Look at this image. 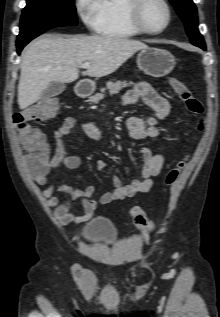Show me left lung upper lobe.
I'll return each instance as SVG.
<instances>
[{
    "label": "left lung upper lobe",
    "mask_w": 220,
    "mask_h": 317,
    "mask_svg": "<svg viewBox=\"0 0 220 317\" xmlns=\"http://www.w3.org/2000/svg\"><path fill=\"white\" fill-rule=\"evenodd\" d=\"M183 20L186 32L195 46H205L202 35L198 31L197 9L192 0H169Z\"/></svg>",
    "instance_id": "left-lung-upper-lobe-1"
}]
</instances>
